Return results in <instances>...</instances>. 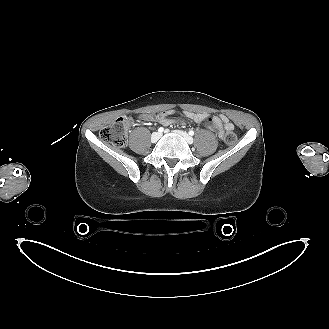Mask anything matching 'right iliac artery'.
Segmentation results:
<instances>
[{"mask_svg":"<svg viewBox=\"0 0 329 329\" xmlns=\"http://www.w3.org/2000/svg\"><path fill=\"white\" fill-rule=\"evenodd\" d=\"M164 131V128L163 127H160L159 129H158V132H160V133H162Z\"/></svg>","mask_w":329,"mask_h":329,"instance_id":"obj_1","label":"right iliac artery"}]
</instances>
